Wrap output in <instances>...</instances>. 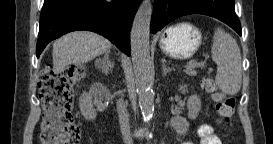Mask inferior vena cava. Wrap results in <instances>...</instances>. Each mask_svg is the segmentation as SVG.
Wrapping results in <instances>:
<instances>
[{
    "instance_id": "1",
    "label": "inferior vena cava",
    "mask_w": 273,
    "mask_h": 144,
    "mask_svg": "<svg viewBox=\"0 0 273 144\" xmlns=\"http://www.w3.org/2000/svg\"><path fill=\"white\" fill-rule=\"evenodd\" d=\"M117 112L124 142L125 144H131L132 138L129 126V114L127 112V104L123 101V99L117 100Z\"/></svg>"
}]
</instances>
